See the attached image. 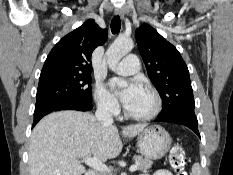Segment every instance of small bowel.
<instances>
[{"instance_id":"c3829d8e","label":"small bowel","mask_w":233,"mask_h":175,"mask_svg":"<svg viewBox=\"0 0 233 175\" xmlns=\"http://www.w3.org/2000/svg\"><path fill=\"white\" fill-rule=\"evenodd\" d=\"M140 175H149V174L143 173ZM154 175H173V174L166 169H161V170H158Z\"/></svg>"}]
</instances>
